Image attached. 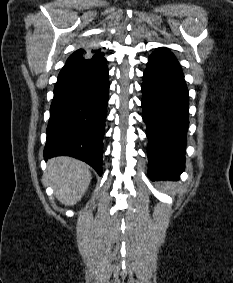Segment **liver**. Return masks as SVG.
Instances as JSON below:
<instances>
[{"label":"liver","mask_w":233,"mask_h":283,"mask_svg":"<svg viewBox=\"0 0 233 283\" xmlns=\"http://www.w3.org/2000/svg\"><path fill=\"white\" fill-rule=\"evenodd\" d=\"M91 179L89 166L80 160L59 156L47 163L45 180L54 188L56 198L66 206L81 200Z\"/></svg>","instance_id":"1"}]
</instances>
